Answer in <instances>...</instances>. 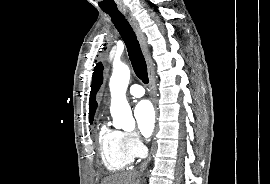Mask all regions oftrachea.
Instances as JSON below:
<instances>
[{"label": "trachea", "mask_w": 270, "mask_h": 184, "mask_svg": "<svg viewBox=\"0 0 270 184\" xmlns=\"http://www.w3.org/2000/svg\"><path fill=\"white\" fill-rule=\"evenodd\" d=\"M104 12L109 14L115 27L124 40L135 74L139 79L147 84V65L132 27L118 9L104 10Z\"/></svg>", "instance_id": "1"}]
</instances>
